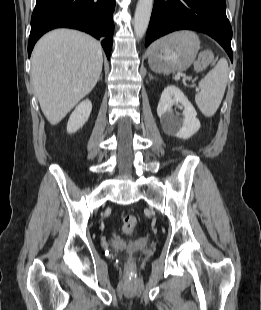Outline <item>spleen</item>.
Segmentation results:
<instances>
[{
	"mask_svg": "<svg viewBox=\"0 0 261 310\" xmlns=\"http://www.w3.org/2000/svg\"><path fill=\"white\" fill-rule=\"evenodd\" d=\"M228 72L227 60L221 58L199 81L200 92L195 95V102L205 117H212L218 110L225 93Z\"/></svg>",
	"mask_w": 261,
	"mask_h": 310,
	"instance_id": "1",
	"label": "spleen"
}]
</instances>
